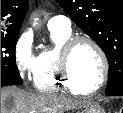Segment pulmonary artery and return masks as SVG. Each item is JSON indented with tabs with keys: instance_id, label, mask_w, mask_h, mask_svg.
Segmentation results:
<instances>
[{
	"instance_id": "e3ab8cb5",
	"label": "pulmonary artery",
	"mask_w": 123,
	"mask_h": 113,
	"mask_svg": "<svg viewBox=\"0 0 123 113\" xmlns=\"http://www.w3.org/2000/svg\"><path fill=\"white\" fill-rule=\"evenodd\" d=\"M48 29L49 30H62V31H70L71 30V21L66 16H54L48 21Z\"/></svg>"
}]
</instances>
